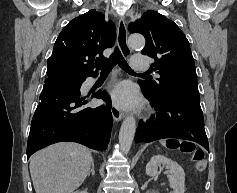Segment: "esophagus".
Instances as JSON below:
<instances>
[{
	"mask_svg": "<svg viewBox=\"0 0 237 193\" xmlns=\"http://www.w3.org/2000/svg\"><path fill=\"white\" fill-rule=\"evenodd\" d=\"M127 28L125 25V21L123 18H120L118 21V27H117V43L122 51V53L125 56H128L131 54V49L129 48L127 44ZM112 116L115 121H120L124 117V112L119 109L115 104L112 105L111 108Z\"/></svg>",
	"mask_w": 237,
	"mask_h": 193,
	"instance_id": "34e87169",
	"label": "esophagus"
}]
</instances>
